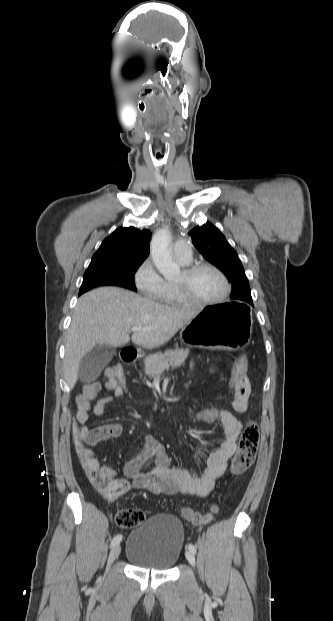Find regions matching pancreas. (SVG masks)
<instances>
[{"mask_svg": "<svg viewBox=\"0 0 333 621\" xmlns=\"http://www.w3.org/2000/svg\"><path fill=\"white\" fill-rule=\"evenodd\" d=\"M190 350L188 348L169 349L164 353L153 354L145 358V374L150 378L161 374L170 367H178L184 363Z\"/></svg>", "mask_w": 333, "mask_h": 621, "instance_id": "pancreas-1", "label": "pancreas"}]
</instances>
